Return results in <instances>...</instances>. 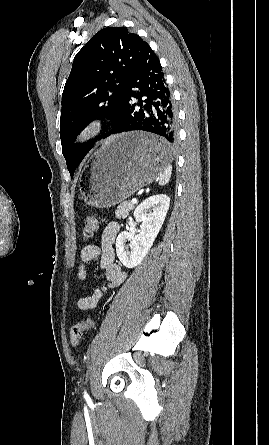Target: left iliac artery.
Masks as SVG:
<instances>
[{
  "instance_id": "1",
  "label": "left iliac artery",
  "mask_w": 269,
  "mask_h": 445,
  "mask_svg": "<svg viewBox=\"0 0 269 445\" xmlns=\"http://www.w3.org/2000/svg\"><path fill=\"white\" fill-rule=\"evenodd\" d=\"M84 398H88V394L86 391H84Z\"/></svg>"
}]
</instances>
